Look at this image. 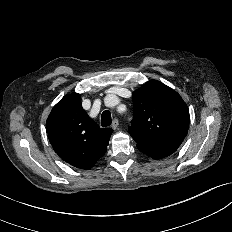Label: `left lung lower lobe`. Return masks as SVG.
I'll use <instances>...</instances> for the list:
<instances>
[{
  "label": "left lung lower lobe",
  "instance_id": "left-lung-lower-lobe-1",
  "mask_svg": "<svg viewBox=\"0 0 232 232\" xmlns=\"http://www.w3.org/2000/svg\"><path fill=\"white\" fill-rule=\"evenodd\" d=\"M137 147L142 153L149 157L153 159H161L173 154L179 148V145L170 144L156 147L137 145Z\"/></svg>",
  "mask_w": 232,
  "mask_h": 232
}]
</instances>
